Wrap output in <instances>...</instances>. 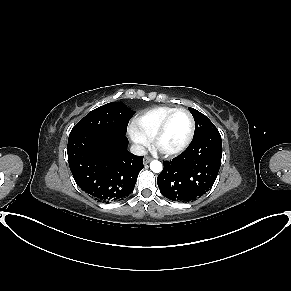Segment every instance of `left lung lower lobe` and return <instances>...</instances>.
Listing matches in <instances>:
<instances>
[{"label": "left lung lower lobe", "mask_w": 291, "mask_h": 291, "mask_svg": "<svg viewBox=\"0 0 291 291\" xmlns=\"http://www.w3.org/2000/svg\"><path fill=\"white\" fill-rule=\"evenodd\" d=\"M222 141L219 132L193 139L178 157L163 161L157 178L160 192L172 201L191 202L213 186L221 165Z\"/></svg>", "instance_id": "1"}]
</instances>
